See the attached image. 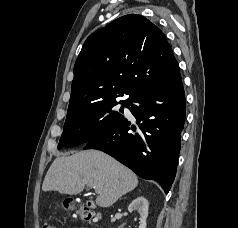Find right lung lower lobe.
I'll list each match as a JSON object with an SVG mask.
<instances>
[{
  "label": "right lung lower lobe",
  "mask_w": 238,
  "mask_h": 228,
  "mask_svg": "<svg viewBox=\"0 0 238 228\" xmlns=\"http://www.w3.org/2000/svg\"><path fill=\"white\" fill-rule=\"evenodd\" d=\"M126 107L139 126L136 128L123 117L87 142L84 149H98L111 155L140 177L158 182L168 193L176 175L185 121L181 77L135 95Z\"/></svg>",
  "instance_id": "1"
}]
</instances>
